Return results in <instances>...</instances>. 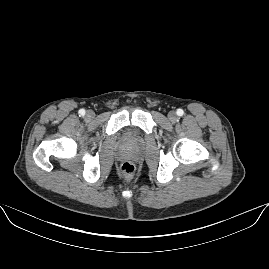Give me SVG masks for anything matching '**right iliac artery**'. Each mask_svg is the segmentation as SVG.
<instances>
[{"label":"right iliac artery","mask_w":269,"mask_h":269,"mask_svg":"<svg viewBox=\"0 0 269 269\" xmlns=\"http://www.w3.org/2000/svg\"><path fill=\"white\" fill-rule=\"evenodd\" d=\"M79 114H80L81 116H84V115H85V110H84V109H80V110H79Z\"/></svg>","instance_id":"right-iliac-artery-1"}]
</instances>
